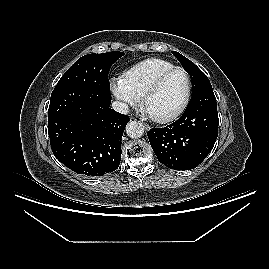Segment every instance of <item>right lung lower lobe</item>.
I'll use <instances>...</instances> for the list:
<instances>
[{
  "mask_svg": "<svg viewBox=\"0 0 269 269\" xmlns=\"http://www.w3.org/2000/svg\"><path fill=\"white\" fill-rule=\"evenodd\" d=\"M110 103V93L94 87L53 90L48 109L51 149L72 171L94 177L118 168L129 117L110 109Z\"/></svg>",
  "mask_w": 269,
  "mask_h": 269,
  "instance_id": "right-lung-lower-lobe-1",
  "label": "right lung lower lobe"
}]
</instances>
